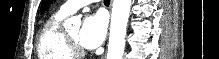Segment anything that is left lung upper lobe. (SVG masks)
<instances>
[{
    "instance_id": "1",
    "label": "left lung upper lobe",
    "mask_w": 219,
    "mask_h": 59,
    "mask_svg": "<svg viewBox=\"0 0 219 59\" xmlns=\"http://www.w3.org/2000/svg\"><path fill=\"white\" fill-rule=\"evenodd\" d=\"M53 0H43L42 1V6H41V11H44L48 8V6L51 4Z\"/></svg>"
}]
</instances>
